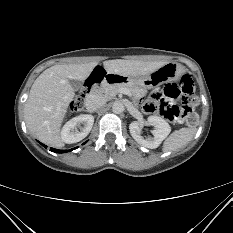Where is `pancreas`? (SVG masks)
<instances>
[{
	"label": "pancreas",
	"mask_w": 233,
	"mask_h": 233,
	"mask_svg": "<svg viewBox=\"0 0 233 233\" xmlns=\"http://www.w3.org/2000/svg\"><path fill=\"white\" fill-rule=\"evenodd\" d=\"M127 90L129 91L134 99H137L142 94H144V91L140 88H132L125 84H114V85H103L102 91L104 93V96L107 98H111L116 96L120 91Z\"/></svg>",
	"instance_id": "cf45deb5"
}]
</instances>
